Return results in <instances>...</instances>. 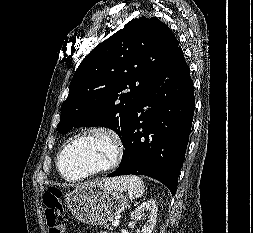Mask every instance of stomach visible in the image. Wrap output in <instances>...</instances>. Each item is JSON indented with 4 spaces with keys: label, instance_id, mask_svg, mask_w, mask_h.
Returning <instances> with one entry per match:
<instances>
[{
    "label": "stomach",
    "instance_id": "0dacf381",
    "mask_svg": "<svg viewBox=\"0 0 253 233\" xmlns=\"http://www.w3.org/2000/svg\"><path fill=\"white\" fill-rule=\"evenodd\" d=\"M65 197L72 215L88 225H103L121 214L128 205L127 198L118 190L96 182L81 185Z\"/></svg>",
    "mask_w": 253,
    "mask_h": 233
}]
</instances>
